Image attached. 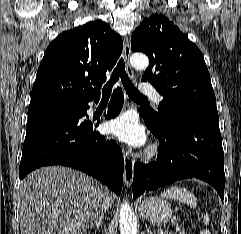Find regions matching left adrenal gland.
Returning a JSON list of instances; mask_svg holds the SVG:
<instances>
[{
	"label": "left adrenal gland",
	"mask_w": 241,
	"mask_h": 234,
	"mask_svg": "<svg viewBox=\"0 0 241 234\" xmlns=\"http://www.w3.org/2000/svg\"><path fill=\"white\" fill-rule=\"evenodd\" d=\"M147 233H148V234H153L150 229H147Z\"/></svg>",
	"instance_id": "left-adrenal-gland-1"
}]
</instances>
